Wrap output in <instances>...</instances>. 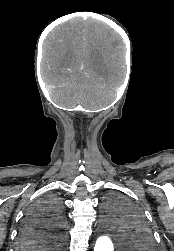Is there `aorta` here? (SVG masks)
Listing matches in <instances>:
<instances>
[{
  "instance_id": "1",
  "label": "aorta",
  "mask_w": 174,
  "mask_h": 251,
  "mask_svg": "<svg viewBox=\"0 0 174 251\" xmlns=\"http://www.w3.org/2000/svg\"><path fill=\"white\" fill-rule=\"evenodd\" d=\"M124 233L123 222L115 217L105 218L101 222V233L96 240L94 251H113L114 246L108 232Z\"/></svg>"
}]
</instances>
